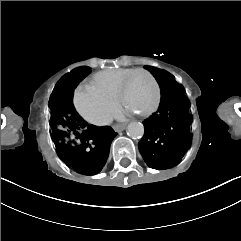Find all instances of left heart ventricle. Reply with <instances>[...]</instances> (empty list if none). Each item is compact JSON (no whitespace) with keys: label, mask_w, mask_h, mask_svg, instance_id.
Returning a JSON list of instances; mask_svg holds the SVG:
<instances>
[{"label":"left heart ventricle","mask_w":241,"mask_h":241,"mask_svg":"<svg viewBox=\"0 0 241 241\" xmlns=\"http://www.w3.org/2000/svg\"><path fill=\"white\" fill-rule=\"evenodd\" d=\"M153 86L145 76L130 80L123 92L126 98V109L135 114L146 110L152 104L156 95Z\"/></svg>","instance_id":"obj_1"}]
</instances>
